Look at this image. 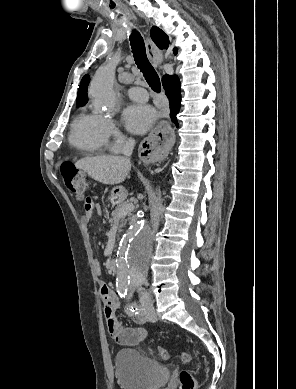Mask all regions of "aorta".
I'll return each mask as SVG.
<instances>
[{
    "mask_svg": "<svg viewBox=\"0 0 296 389\" xmlns=\"http://www.w3.org/2000/svg\"><path fill=\"white\" fill-rule=\"evenodd\" d=\"M114 81L115 68L111 64H105L96 71L90 85L94 102L108 111H113L118 102ZM153 240V231L145 218L139 219L130 227L117 251L119 286L136 288L145 282Z\"/></svg>",
    "mask_w": 296,
    "mask_h": 389,
    "instance_id": "aorta-1",
    "label": "aorta"
}]
</instances>
